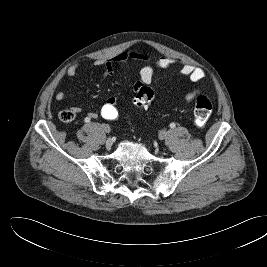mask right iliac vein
Returning a JSON list of instances; mask_svg holds the SVG:
<instances>
[{
  "instance_id": "1",
  "label": "right iliac vein",
  "mask_w": 267,
  "mask_h": 267,
  "mask_svg": "<svg viewBox=\"0 0 267 267\" xmlns=\"http://www.w3.org/2000/svg\"><path fill=\"white\" fill-rule=\"evenodd\" d=\"M102 128H103V130H104L106 133H109L108 131H109V128H110V127H109L108 125L103 124V125H102ZM106 144H107V146H109V147L111 146V143H110L109 140L107 141Z\"/></svg>"
}]
</instances>
